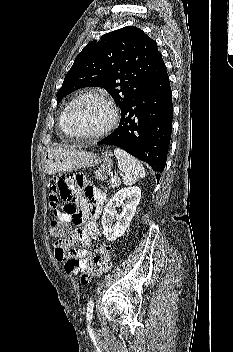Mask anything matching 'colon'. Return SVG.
<instances>
[{
  "label": "colon",
  "mask_w": 233,
  "mask_h": 352,
  "mask_svg": "<svg viewBox=\"0 0 233 352\" xmlns=\"http://www.w3.org/2000/svg\"><path fill=\"white\" fill-rule=\"evenodd\" d=\"M110 155H103V164L97 168L96 175L101 178L104 177L110 167ZM74 206L70 205L65 208L67 211H73ZM50 234L57 239L61 246H66L68 236L70 233V226L59 220H52L49 225ZM96 254L88 263L85 269L82 270L80 278L83 284H88L92 279L98 277L111 268L110 247L105 243H98L95 246Z\"/></svg>",
  "instance_id": "colon-1"
}]
</instances>
